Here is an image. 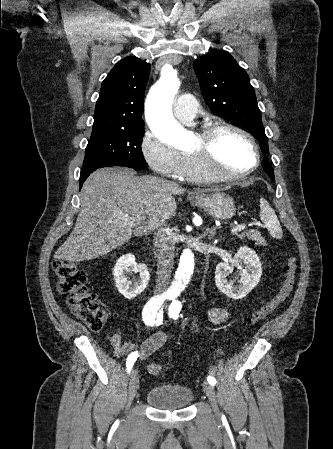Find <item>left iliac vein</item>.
I'll list each match as a JSON object with an SVG mask.
<instances>
[{"label":"left iliac vein","mask_w":333,"mask_h":449,"mask_svg":"<svg viewBox=\"0 0 333 449\" xmlns=\"http://www.w3.org/2000/svg\"><path fill=\"white\" fill-rule=\"evenodd\" d=\"M202 388L206 396L208 397L212 410L216 417L219 416V408L217 405L216 394L213 386L206 381H203Z\"/></svg>","instance_id":"1"}]
</instances>
